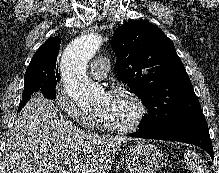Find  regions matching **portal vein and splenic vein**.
I'll return each mask as SVG.
<instances>
[{
    "label": "portal vein and splenic vein",
    "instance_id": "1",
    "mask_svg": "<svg viewBox=\"0 0 219 173\" xmlns=\"http://www.w3.org/2000/svg\"><path fill=\"white\" fill-rule=\"evenodd\" d=\"M61 173H69V172H67V171H61Z\"/></svg>",
    "mask_w": 219,
    "mask_h": 173
}]
</instances>
